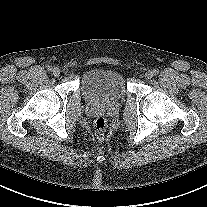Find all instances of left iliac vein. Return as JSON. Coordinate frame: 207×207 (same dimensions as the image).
Returning a JSON list of instances; mask_svg holds the SVG:
<instances>
[{
	"mask_svg": "<svg viewBox=\"0 0 207 207\" xmlns=\"http://www.w3.org/2000/svg\"><path fill=\"white\" fill-rule=\"evenodd\" d=\"M152 76H153V72H152V71H147V72L145 73V75H144V77H145L146 79H150V78H152Z\"/></svg>",
	"mask_w": 207,
	"mask_h": 207,
	"instance_id": "obj_1",
	"label": "left iliac vein"
}]
</instances>
